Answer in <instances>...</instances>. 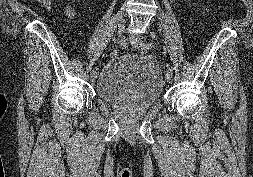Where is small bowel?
I'll return each instance as SVG.
<instances>
[{
  "label": "small bowel",
  "mask_w": 253,
  "mask_h": 177,
  "mask_svg": "<svg viewBox=\"0 0 253 177\" xmlns=\"http://www.w3.org/2000/svg\"><path fill=\"white\" fill-rule=\"evenodd\" d=\"M32 1L40 3L47 10H50V8H51V2H50V0H48V2L45 3V4L42 2L43 0H32ZM64 12H65L66 18L68 20H71V19H73L75 17V10L70 5H65L64 6Z\"/></svg>",
  "instance_id": "1"
}]
</instances>
